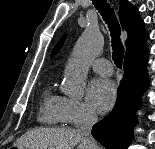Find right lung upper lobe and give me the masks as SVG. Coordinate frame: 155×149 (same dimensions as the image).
Listing matches in <instances>:
<instances>
[{
	"label": "right lung upper lobe",
	"instance_id": "right-lung-upper-lobe-1",
	"mask_svg": "<svg viewBox=\"0 0 155 149\" xmlns=\"http://www.w3.org/2000/svg\"><path fill=\"white\" fill-rule=\"evenodd\" d=\"M119 18L121 26L128 32L125 60H138L148 55L147 32L138 9L127 0H120Z\"/></svg>",
	"mask_w": 155,
	"mask_h": 149
}]
</instances>
